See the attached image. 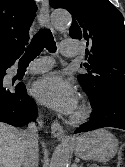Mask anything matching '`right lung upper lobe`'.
Here are the masks:
<instances>
[{
	"mask_svg": "<svg viewBox=\"0 0 125 167\" xmlns=\"http://www.w3.org/2000/svg\"><path fill=\"white\" fill-rule=\"evenodd\" d=\"M36 10L33 0H0V69L25 50Z\"/></svg>",
	"mask_w": 125,
	"mask_h": 167,
	"instance_id": "1",
	"label": "right lung upper lobe"
}]
</instances>
